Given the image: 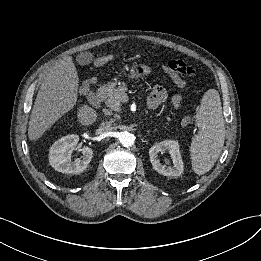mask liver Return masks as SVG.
Wrapping results in <instances>:
<instances>
[{
	"label": "liver",
	"mask_w": 261,
	"mask_h": 261,
	"mask_svg": "<svg viewBox=\"0 0 261 261\" xmlns=\"http://www.w3.org/2000/svg\"><path fill=\"white\" fill-rule=\"evenodd\" d=\"M79 78L73 58H64L45 76L31 112L28 137L39 139L77 101ZM96 112L87 105L79 108L78 118L83 125L96 121Z\"/></svg>",
	"instance_id": "liver-1"
}]
</instances>
